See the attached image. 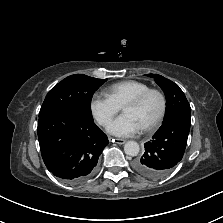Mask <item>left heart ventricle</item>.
<instances>
[{
  "label": "left heart ventricle",
  "mask_w": 223,
  "mask_h": 223,
  "mask_svg": "<svg viewBox=\"0 0 223 223\" xmlns=\"http://www.w3.org/2000/svg\"><path fill=\"white\" fill-rule=\"evenodd\" d=\"M161 107L162 102L159 95L151 94L139 106L124 108L123 114L131 116L141 129L156 119L161 111Z\"/></svg>",
  "instance_id": "1"
}]
</instances>
